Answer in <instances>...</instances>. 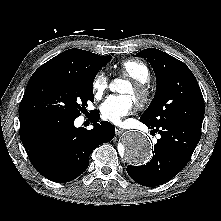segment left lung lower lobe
<instances>
[{
  "instance_id": "1",
  "label": "left lung lower lobe",
  "mask_w": 221,
  "mask_h": 221,
  "mask_svg": "<svg viewBox=\"0 0 221 221\" xmlns=\"http://www.w3.org/2000/svg\"><path fill=\"white\" fill-rule=\"evenodd\" d=\"M152 129L161 135L152 159L146 165L127 167L133 180L148 187L161 185L176 176L188 163L201 138V131L181 122Z\"/></svg>"
}]
</instances>
